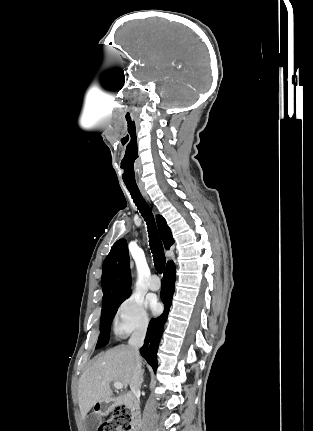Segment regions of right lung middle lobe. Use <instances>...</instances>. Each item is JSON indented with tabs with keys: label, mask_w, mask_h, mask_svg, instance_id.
Here are the masks:
<instances>
[{
	"label": "right lung middle lobe",
	"mask_w": 313,
	"mask_h": 431,
	"mask_svg": "<svg viewBox=\"0 0 313 431\" xmlns=\"http://www.w3.org/2000/svg\"><path fill=\"white\" fill-rule=\"evenodd\" d=\"M129 296L115 299V300H112L110 302L102 304L101 321H100V335L98 338L96 349L101 348L108 343L109 333H110V325L112 323L113 317L116 314L117 309L120 306V304L125 299H127Z\"/></svg>",
	"instance_id": "1"
}]
</instances>
